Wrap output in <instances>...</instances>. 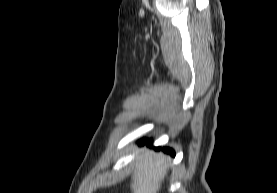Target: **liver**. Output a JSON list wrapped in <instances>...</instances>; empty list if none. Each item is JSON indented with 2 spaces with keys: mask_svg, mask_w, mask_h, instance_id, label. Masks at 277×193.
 <instances>
[{
  "mask_svg": "<svg viewBox=\"0 0 277 193\" xmlns=\"http://www.w3.org/2000/svg\"><path fill=\"white\" fill-rule=\"evenodd\" d=\"M170 159L163 154L148 152L136 162L133 169L132 193H158L167 175Z\"/></svg>",
  "mask_w": 277,
  "mask_h": 193,
  "instance_id": "obj_1",
  "label": "liver"
}]
</instances>
